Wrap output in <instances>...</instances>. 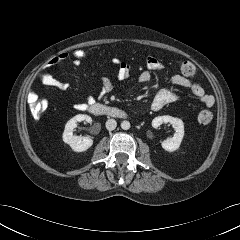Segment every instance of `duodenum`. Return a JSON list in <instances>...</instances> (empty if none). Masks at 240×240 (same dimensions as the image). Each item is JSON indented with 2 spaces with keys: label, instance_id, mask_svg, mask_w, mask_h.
<instances>
[{
  "label": "duodenum",
  "instance_id": "410a0bca",
  "mask_svg": "<svg viewBox=\"0 0 240 240\" xmlns=\"http://www.w3.org/2000/svg\"><path fill=\"white\" fill-rule=\"evenodd\" d=\"M88 109L93 114H104L116 118H123L125 116L122 110L102 104H92Z\"/></svg>",
  "mask_w": 240,
  "mask_h": 240
}]
</instances>
